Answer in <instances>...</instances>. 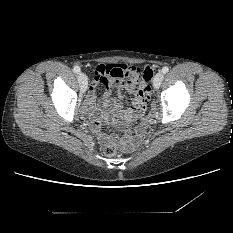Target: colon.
Here are the masks:
<instances>
[{
	"mask_svg": "<svg viewBox=\"0 0 233 233\" xmlns=\"http://www.w3.org/2000/svg\"><path fill=\"white\" fill-rule=\"evenodd\" d=\"M154 76V69L151 66H145L140 69L137 73L131 67H127L125 72L122 74L123 79H141L146 78L148 81L152 80ZM150 95L149 87L140 89L135 97L137 102H145L148 100ZM104 153L109 156H114L118 153V150L115 146L108 145L103 149Z\"/></svg>",
	"mask_w": 233,
	"mask_h": 233,
	"instance_id": "1",
	"label": "colon"
}]
</instances>
